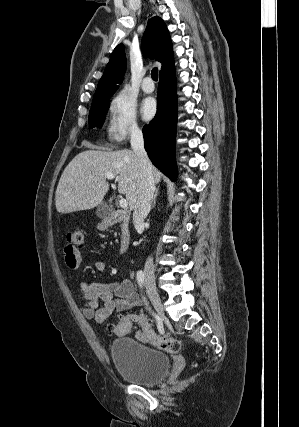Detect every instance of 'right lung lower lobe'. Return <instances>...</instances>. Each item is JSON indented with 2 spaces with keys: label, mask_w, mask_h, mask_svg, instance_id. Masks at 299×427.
<instances>
[{
  "label": "right lung lower lobe",
  "mask_w": 299,
  "mask_h": 427,
  "mask_svg": "<svg viewBox=\"0 0 299 427\" xmlns=\"http://www.w3.org/2000/svg\"><path fill=\"white\" fill-rule=\"evenodd\" d=\"M158 106L154 119L145 125V149L152 163L172 181L176 180L175 137L177 95L175 70L160 75Z\"/></svg>",
  "instance_id": "98d812e1"
}]
</instances>
